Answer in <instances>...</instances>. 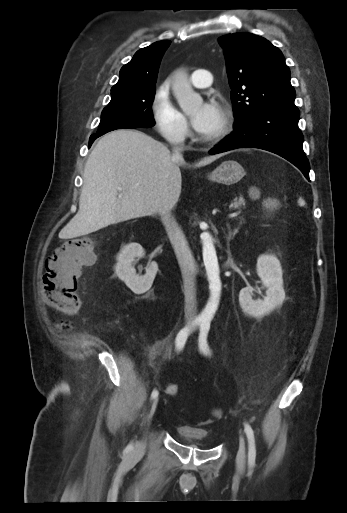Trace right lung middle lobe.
Instances as JSON below:
<instances>
[{
  "label": "right lung middle lobe",
  "instance_id": "right-lung-middle-lobe-1",
  "mask_svg": "<svg viewBox=\"0 0 347 513\" xmlns=\"http://www.w3.org/2000/svg\"><path fill=\"white\" fill-rule=\"evenodd\" d=\"M156 87L111 91V101L102 111L97 133L123 128L154 126L151 105Z\"/></svg>",
  "mask_w": 347,
  "mask_h": 513
}]
</instances>
